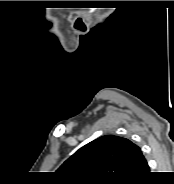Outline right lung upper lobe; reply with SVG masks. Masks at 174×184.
Here are the masks:
<instances>
[{"label": "right lung upper lobe", "mask_w": 174, "mask_h": 184, "mask_svg": "<svg viewBox=\"0 0 174 184\" xmlns=\"http://www.w3.org/2000/svg\"><path fill=\"white\" fill-rule=\"evenodd\" d=\"M147 166L140 148L130 140L105 135L80 148L56 173L70 184H115L138 176Z\"/></svg>", "instance_id": "obj_1"}]
</instances>
